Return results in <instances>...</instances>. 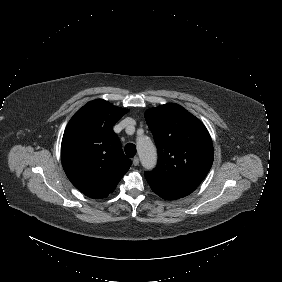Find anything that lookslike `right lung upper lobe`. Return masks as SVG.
<instances>
[{
	"label": "right lung upper lobe",
	"instance_id": "right-lung-upper-lobe-1",
	"mask_svg": "<svg viewBox=\"0 0 282 282\" xmlns=\"http://www.w3.org/2000/svg\"><path fill=\"white\" fill-rule=\"evenodd\" d=\"M127 112L96 99L79 109L66 126L61 144L62 165L72 184L88 197H107L132 164L113 131L115 123Z\"/></svg>",
	"mask_w": 282,
	"mask_h": 282
}]
</instances>
